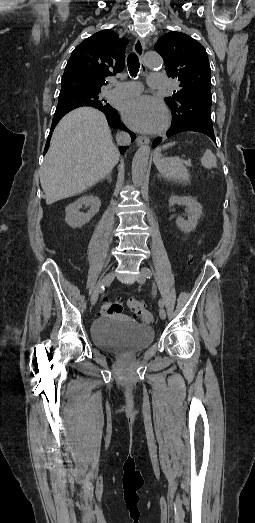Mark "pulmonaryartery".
Here are the masks:
<instances>
[{
    "mask_svg": "<svg viewBox=\"0 0 255 523\" xmlns=\"http://www.w3.org/2000/svg\"><path fill=\"white\" fill-rule=\"evenodd\" d=\"M148 83L151 85V88L153 90H156L158 92L164 91L166 89V85L168 84V81L166 80L165 75H163L159 71H155L150 75L148 79ZM114 88L108 91L109 96L113 97H130L137 95L142 90V85L139 82L134 81H128V82H119L114 81Z\"/></svg>",
    "mask_w": 255,
    "mask_h": 523,
    "instance_id": "1",
    "label": "pulmonary artery"
}]
</instances>
